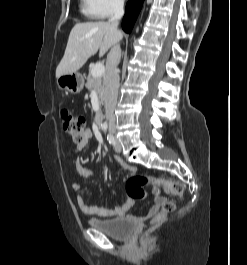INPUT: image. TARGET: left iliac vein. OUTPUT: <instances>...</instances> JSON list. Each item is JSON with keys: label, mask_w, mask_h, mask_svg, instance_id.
<instances>
[{"label": "left iliac vein", "mask_w": 247, "mask_h": 265, "mask_svg": "<svg viewBox=\"0 0 247 265\" xmlns=\"http://www.w3.org/2000/svg\"><path fill=\"white\" fill-rule=\"evenodd\" d=\"M114 149L118 153H120L122 151V146H121V143L118 139L115 140Z\"/></svg>", "instance_id": "left-iliac-vein-1"}]
</instances>
